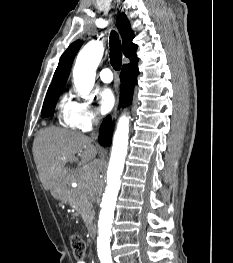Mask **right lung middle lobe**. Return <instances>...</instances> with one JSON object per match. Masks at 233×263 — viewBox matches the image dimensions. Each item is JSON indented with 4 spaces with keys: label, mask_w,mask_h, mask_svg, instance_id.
Segmentation results:
<instances>
[{
    "label": "right lung middle lobe",
    "mask_w": 233,
    "mask_h": 263,
    "mask_svg": "<svg viewBox=\"0 0 233 263\" xmlns=\"http://www.w3.org/2000/svg\"><path fill=\"white\" fill-rule=\"evenodd\" d=\"M62 88L63 87L48 90L42 107V112H41L42 118H46L53 115Z\"/></svg>",
    "instance_id": "right-lung-middle-lobe-1"
}]
</instances>
